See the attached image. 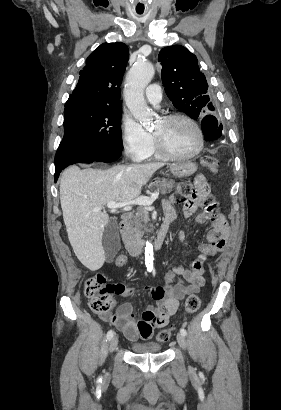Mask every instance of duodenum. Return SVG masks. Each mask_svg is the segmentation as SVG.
<instances>
[{
  "mask_svg": "<svg viewBox=\"0 0 281 410\" xmlns=\"http://www.w3.org/2000/svg\"><path fill=\"white\" fill-rule=\"evenodd\" d=\"M131 218V213H124L121 216L120 219V229L124 241L125 248L127 252L133 256L138 255L145 247H147L148 242L144 239L137 238L134 236H131L127 232V223L129 219ZM168 228L169 226L167 224H162L160 229L158 230L156 239L153 241L152 245L155 248H160L163 246L167 239V234H168Z\"/></svg>",
  "mask_w": 281,
  "mask_h": 410,
  "instance_id": "410a0bca",
  "label": "duodenum"
}]
</instances>
